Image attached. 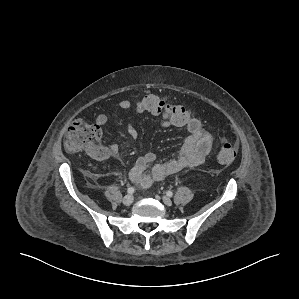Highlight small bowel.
<instances>
[{"mask_svg":"<svg viewBox=\"0 0 299 299\" xmlns=\"http://www.w3.org/2000/svg\"><path fill=\"white\" fill-rule=\"evenodd\" d=\"M116 106L123 110L133 109L137 114L145 113L140 99L132 101L121 100L117 102ZM109 122L110 119L105 114H100L95 118L97 127L104 126ZM161 126L164 128L173 127L166 120L161 121ZM185 128L188 135L175 158L162 163H155L156 156L152 152L139 156L129 173L131 181L140 187H149L153 182L163 180L182 169L193 168L202 164L212 147V135L203 128L200 120L197 118L185 126ZM126 129L132 138H138L139 133L134 124L128 123ZM118 154V145L112 144L107 148L100 149L92 156L97 160H107L116 157Z\"/></svg>","mask_w":299,"mask_h":299,"instance_id":"c3829d8e","label":"small bowel"}]
</instances>
